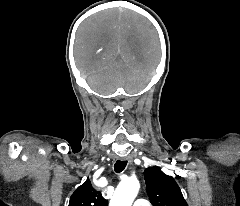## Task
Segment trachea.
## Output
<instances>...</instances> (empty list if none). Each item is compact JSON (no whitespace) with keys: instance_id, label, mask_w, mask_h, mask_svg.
Segmentation results:
<instances>
[{"instance_id":"obj_1","label":"trachea","mask_w":240,"mask_h":206,"mask_svg":"<svg viewBox=\"0 0 240 206\" xmlns=\"http://www.w3.org/2000/svg\"><path fill=\"white\" fill-rule=\"evenodd\" d=\"M126 165H127V161L117 160L114 165V169L117 173H120L125 169Z\"/></svg>"}]
</instances>
